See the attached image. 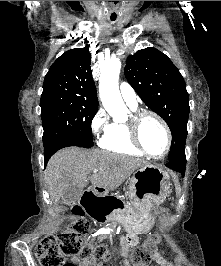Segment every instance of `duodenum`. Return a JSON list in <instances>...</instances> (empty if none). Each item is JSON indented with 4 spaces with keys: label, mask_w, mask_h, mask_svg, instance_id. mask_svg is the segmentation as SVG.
I'll return each mask as SVG.
<instances>
[{
    "label": "duodenum",
    "mask_w": 221,
    "mask_h": 266,
    "mask_svg": "<svg viewBox=\"0 0 221 266\" xmlns=\"http://www.w3.org/2000/svg\"><path fill=\"white\" fill-rule=\"evenodd\" d=\"M78 203L86 206L85 213L92 216L96 223H110L112 218L122 224L127 223L123 215L122 201L117 194H113V191L104 187L97 190L84 189L78 198Z\"/></svg>",
    "instance_id": "1"
}]
</instances>
